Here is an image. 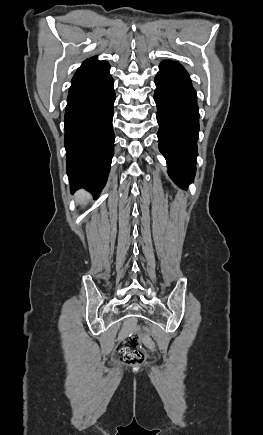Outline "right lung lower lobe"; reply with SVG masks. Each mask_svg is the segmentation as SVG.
<instances>
[{
  "instance_id": "98d812e1",
  "label": "right lung lower lobe",
  "mask_w": 263,
  "mask_h": 435,
  "mask_svg": "<svg viewBox=\"0 0 263 435\" xmlns=\"http://www.w3.org/2000/svg\"><path fill=\"white\" fill-rule=\"evenodd\" d=\"M107 62L75 73L65 111L67 175L73 191L84 187L97 198L106 184L114 152V81Z\"/></svg>"
}]
</instances>
